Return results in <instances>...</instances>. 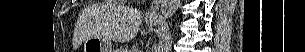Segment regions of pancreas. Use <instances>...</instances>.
<instances>
[{"instance_id":"pancreas-1","label":"pancreas","mask_w":305,"mask_h":52,"mask_svg":"<svg viewBox=\"0 0 305 52\" xmlns=\"http://www.w3.org/2000/svg\"><path fill=\"white\" fill-rule=\"evenodd\" d=\"M119 52H127L125 49H120Z\"/></svg>"}]
</instances>
